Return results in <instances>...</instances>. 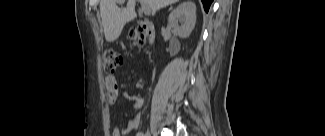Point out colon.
I'll use <instances>...</instances> for the list:
<instances>
[{
	"instance_id": "obj_1",
	"label": "colon",
	"mask_w": 325,
	"mask_h": 136,
	"mask_svg": "<svg viewBox=\"0 0 325 136\" xmlns=\"http://www.w3.org/2000/svg\"><path fill=\"white\" fill-rule=\"evenodd\" d=\"M150 31L144 27L133 29L130 33L131 38L138 44H143ZM122 64V57L113 50L107 49L103 55V69L106 73H113Z\"/></svg>"
}]
</instances>
